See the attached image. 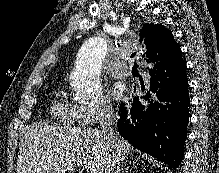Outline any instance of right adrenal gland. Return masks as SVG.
<instances>
[{"label":"right adrenal gland","mask_w":219,"mask_h":173,"mask_svg":"<svg viewBox=\"0 0 219 173\" xmlns=\"http://www.w3.org/2000/svg\"><path fill=\"white\" fill-rule=\"evenodd\" d=\"M120 173H128L127 169H125V166L122 165L120 170H119Z\"/></svg>","instance_id":"obj_1"}]
</instances>
